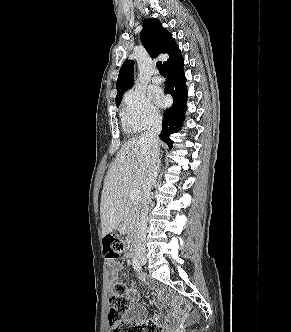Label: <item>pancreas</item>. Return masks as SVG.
Here are the masks:
<instances>
[{
	"mask_svg": "<svg viewBox=\"0 0 291 332\" xmlns=\"http://www.w3.org/2000/svg\"><path fill=\"white\" fill-rule=\"evenodd\" d=\"M140 207L139 202L137 201H130L126 202L123 206V223L122 229L126 232H130L135 223L138 216V209Z\"/></svg>",
	"mask_w": 291,
	"mask_h": 332,
	"instance_id": "cf45deb5",
	"label": "pancreas"
}]
</instances>
